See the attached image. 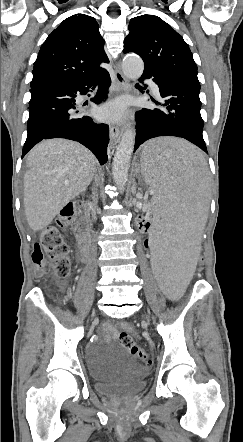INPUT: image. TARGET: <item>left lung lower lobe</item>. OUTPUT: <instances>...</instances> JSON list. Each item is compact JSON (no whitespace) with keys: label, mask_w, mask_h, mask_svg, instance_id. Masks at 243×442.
<instances>
[{"label":"left lung lower lobe","mask_w":243,"mask_h":442,"mask_svg":"<svg viewBox=\"0 0 243 442\" xmlns=\"http://www.w3.org/2000/svg\"><path fill=\"white\" fill-rule=\"evenodd\" d=\"M152 78L160 88L164 108L147 109L136 112V149L146 140L159 136L185 138L207 152L203 139V119L200 114V83L198 78L173 73H157L144 68L141 78ZM143 92V87L137 85ZM145 89V87H144ZM156 104L158 101L152 99Z\"/></svg>","instance_id":"obj_1"}]
</instances>
